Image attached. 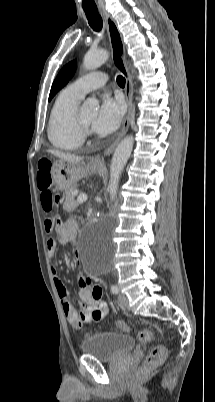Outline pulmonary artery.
<instances>
[{
  "label": "pulmonary artery",
  "instance_id": "pulmonary-artery-1",
  "mask_svg": "<svg viewBox=\"0 0 215 402\" xmlns=\"http://www.w3.org/2000/svg\"><path fill=\"white\" fill-rule=\"evenodd\" d=\"M106 81L107 75L105 73L92 72L80 77L71 83L67 88L83 98L89 91L105 85Z\"/></svg>",
  "mask_w": 215,
  "mask_h": 402
}]
</instances>
